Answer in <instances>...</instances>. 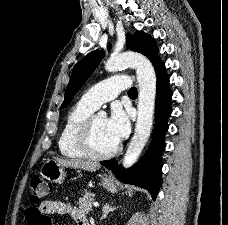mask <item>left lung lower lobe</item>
Listing matches in <instances>:
<instances>
[{
    "mask_svg": "<svg viewBox=\"0 0 228 225\" xmlns=\"http://www.w3.org/2000/svg\"><path fill=\"white\" fill-rule=\"evenodd\" d=\"M157 75V93L155 104V129L153 140L141 160L133 167L125 170L118 165L116 159L101 161L108 169H112L116 178L123 183L133 184L148 190L155 200L161 185V153L165 149L164 135L168 130L167 118L172 109L170 101L172 93L169 89V78L165 65L160 60L154 64Z\"/></svg>",
    "mask_w": 228,
    "mask_h": 225,
    "instance_id": "left-lung-lower-lobe-1",
    "label": "left lung lower lobe"
}]
</instances>
